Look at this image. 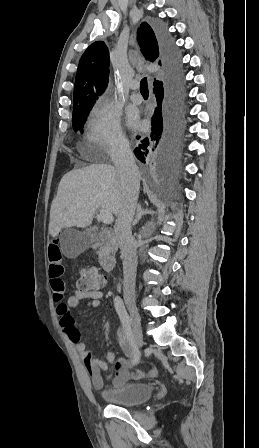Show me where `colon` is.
Returning a JSON list of instances; mask_svg holds the SVG:
<instances>
[{"mask_svg":"<svg viewBox=\"0 0 259 448\" xmlns=\"http://www.w3.org/2000/svg\"><path fill=\"white\" fill-rule=\"evenodd\" d=\"M105 286V278L94 268L82 271L77 282V289L86 294H99Z\"/></svg>","mask_w":259,"mask_h":448,"instance_id":"colon-1","label":"colon"}]
</instances>
